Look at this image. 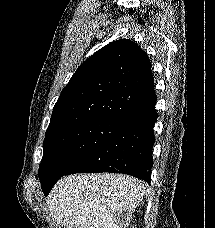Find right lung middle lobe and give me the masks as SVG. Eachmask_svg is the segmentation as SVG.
Here are the masks:
<instances>
[{"mask_svg":"<svg viewBox=\"0 0 215 228\" xmlns=\"http://www.w3.org/2000/svg\"><path fill=\"white\" fill-rule=\"evenodd\" d=\"M126 123L110 117H96L45 134L38 173L44 195L49 194L68 170Z\"/></svg>","mask_w":215,"mask_h":228,"instance_id":"obj_1","label":"right lung middle lobe"}]
</instances>
